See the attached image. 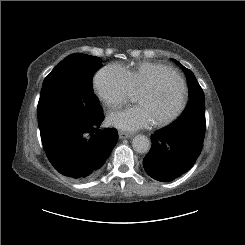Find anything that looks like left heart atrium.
<instances>
[{"label":"left heart atrium","mask_w":245,"mask_h":245,"mask_svg":"<svg viewBox=\"0 0 245 245\" xmlns=\"http://www.w3.org/2000/svg\"><path fill=\"white\" fill-rule=\"evenodd\" d=\"M107 121L110 126L127 132L148 128L155 122L150 110L141 105L112 110Z\"/></svg>","instance_id":"obj_1"}]
</instances>
